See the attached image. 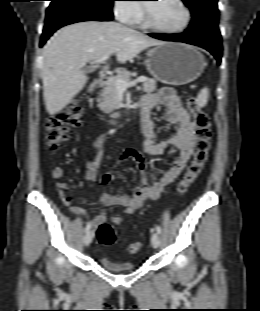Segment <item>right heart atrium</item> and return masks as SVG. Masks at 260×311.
Here are the masks:
<instances>
[{
    "mask_svg": "<svg viewBox=\"0 0 260 311\" xmlns=\"http://www.w3.org/2000/svg\"><path fill=\"white\" fill-rule=\"evenodd\" d=\"M141 7L138 4L127 3L123 0L115 1L113 11L116 17L123 23H133L140 14Z\"/></svg>",
    "mask_w": 260,
    "mask_h": 311,
    "instance_id": "right-heart-atrium-1",
    "label": "right heart atrium"
}]
</instances>
